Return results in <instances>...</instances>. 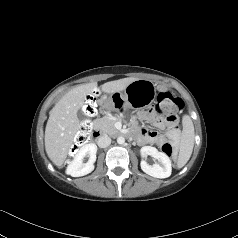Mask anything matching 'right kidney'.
<instances>
[{"label":"right kidney","mask_w":238,"mask_h":238,"mask_svg":"<svg viewBox=\"0 0 238 238\" xmlns=\"http://www.w3.org/2000/svg\"><path fill=\"white\" fill-rule=\"evenodd\" d=\"M97 146L93 143L82 146L74 159L67 168V173L73 177H80L91 173L94 170L96 161ZM89 157L86 163H83L84 157Z\"/></svg>","instance_id":"obj_1"}]
</instances>
